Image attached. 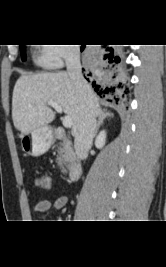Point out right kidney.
<instances>
[{
	"instance_id": "1",
	"label": "right kidney",
	"mask_w": 166,
	"mask_h": 267,
	"mask_svg": "<svg viewBox=\"0 0 166 267\" xmlns=\"http://www.w3.org/2000/svg\"><path fill=\"white\" fill-rule=\"evenodd\" d=\"M105 141H106V132H105V130H103L97 136L96 141H95V146L98 149H101L105 145Z\"/></svg>"
}]
</instances>
